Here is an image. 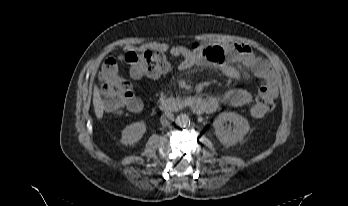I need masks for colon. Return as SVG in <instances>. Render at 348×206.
Segmentation results:
<instances>
[{
  "label": "colon",
  "mask_w": 348,
  "mask_h": 206,
  "mask_svg": "<svg viewBox=\"0 0 348 206\" xmlns=\"http://www.w3.org/2000/svg\"><path fill=\"white\" fill-rule=\"evenodd\" d=\"M124 61L129 66L134 77L147 75L157 77L168 69V62L163 52L144 49L128 51ZM103 106L107 111L120 113L136 111L141 107L139 100L134 96L130 84L121 73L116 59H108L101 72ZM274 109V92L264 85L260 88L255 104L250 113L254 118H262Z\"/></svg>",
  "instance_id": "1"
}]
</instances>
